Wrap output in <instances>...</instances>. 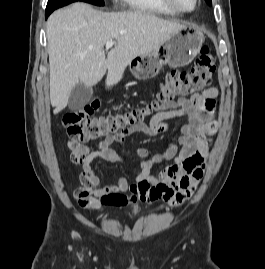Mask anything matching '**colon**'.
Instances as JSON below:
<instances>
[{
  "mask_svg": "<svg viewBox=\"0 0 265 269\" xmlns=\"http://www.w3.org/2000/svg\"><path fill=\"white\" fill-rule=\"evenodd\" d=\"M215 69L214 57L208 47H203L194 66L190 70L169 72L155 98L144 107L96 118L92 115L101 103L95 100L81 109L67 113L63 118L67 136L70 140L80 142L115 137L125 129L143 122L147 116L176 96H190L207 89ZM148 194L149 197L158 199L164 197L166 190L162 186H151Z\"/></svg>",
  "mask_w": 265,
  "mask_h": 269,
  "instance_id": "colon-1",
  "label": "colon"
}]
</instances>
